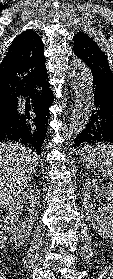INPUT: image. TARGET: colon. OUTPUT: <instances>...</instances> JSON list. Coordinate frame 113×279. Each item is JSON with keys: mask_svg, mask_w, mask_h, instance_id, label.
Here are the masks:
<instances>
[{"mask_svg": "<svg viewBox=\"0 0 113 279\" xmlns=\"http://www.w3.org/2000/svg\"><path fill=\"white\" fill-rule=\"evenodd\" d=\"M2 239H3V232L0 229V243L2 242Z\"/></svg>", "mask_w": 113, "mask_h": 279, "instance_id": "1", "label": "colon"}]
</instances>
